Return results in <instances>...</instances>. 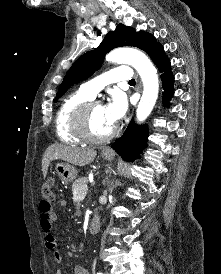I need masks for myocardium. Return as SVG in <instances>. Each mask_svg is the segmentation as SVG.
I'll use <instances>...</instances> for the list:
<instances>
[{"label": "myocardium", "mask_w": 221, "mask_h": 274, "mask_svg": "<svg viewBox=\"0 0 221 274\" xmlns=\"http://www.w3.org/2000/svg\"><path fill=\"white\" fill-rule=\"evenodd\" d=\"M103 105L100 100L92 99L81 104L73 115V128L76 134L84 141L91 143H102L110 140L114 134L115 129L104 135H96L91 130L90 115L94 107Z\"/></svg>", "instance_id": "1"}]
</instances>
